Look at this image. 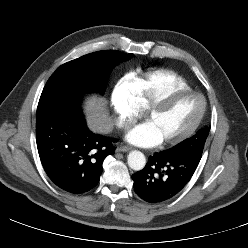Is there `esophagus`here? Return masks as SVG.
<instances>
[{
	"instance_id": "1",
	"label": "esophagus",
	"mask_w": 248,
	"mask_h": 248,
	"mask_svg": "<svg viewBox=\"0 0 248 248\" xmlns=\"http://www.w3.org/2000/svg\"><path fill=\"white\" fill-rule=\"evenodd\" d=\"M129 150H130V147L123 146V145L118 146L116 149L117 152H128Z\"/></svg>"
}]
</instances>
